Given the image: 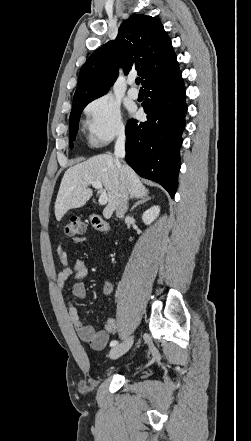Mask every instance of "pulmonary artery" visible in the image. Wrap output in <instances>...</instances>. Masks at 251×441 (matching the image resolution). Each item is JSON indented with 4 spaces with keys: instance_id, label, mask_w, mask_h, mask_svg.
Returning <instances> with one entry per match:
<instances>
[{
    "instance_id": "pulmonary-artery-1",
    "label": "pulmonary artery",
    "mask_w": 251,
    "mask_h": 441,
    "mask_svg": "<svg viewBox=\"0 0 251 441\" xmlns=\"http://www.w3.org/2000/svg\"><path fill=\"white\" fill-rule=\"evenodd\" d=\"M128 83L130 85V88L128 90L129 97L132 99H137L139 96V91L137 88L134 87V83H135L134 78H129Z\"/></svg>"
}]
</instances>
